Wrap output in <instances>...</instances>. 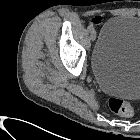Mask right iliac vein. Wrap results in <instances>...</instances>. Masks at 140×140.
I'll list each match as a JSON object with an SVG mask.
<instances>
[{
  "mask_svg": "<svg viewBox=\"0 0 140 140\" xmlns=\"http://www.w3.org/2000/svg\"><path fill=\"white\" fill-rule=\"evenodd\" d=\"M90 38H91L92 41H95V39H96V31L95 30L91 31Z\"/></svg>",
  "mask_w": 140,
  "mask_h": 140,
  "instance_id": "63e3f726",
  "label": "right iliac vein"
}]
</instances>
